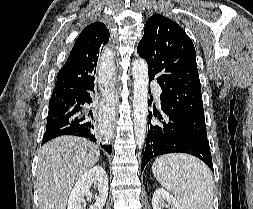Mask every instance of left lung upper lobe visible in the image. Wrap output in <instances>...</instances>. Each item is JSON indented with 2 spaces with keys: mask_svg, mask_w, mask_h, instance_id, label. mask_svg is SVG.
Returning <instances> with one entry per match:
<instances>
[{
  "mask_svg": "<svg viewBox=\"0 0 253 209\" xmlns=\"http://www.w3.org/2000/svg\"><path fill=\"white\" fill-rule=\"evenodd\" d=\"M148 63L149 79H157L161 107L185 127L206 137V125L194 45L174 21L152 15L137 47Z\"/></svg>",
  "mask_w": 253,
  "mask_h": 209,
  "instance_id": "obj_1",
  "label": "left lung upper lobe"
}]
</instances>
